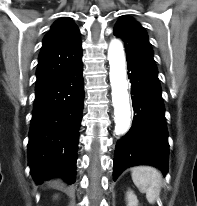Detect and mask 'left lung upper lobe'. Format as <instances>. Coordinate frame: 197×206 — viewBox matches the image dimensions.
I'll use <instances>...</instances> for the list:
<instances>
[{
    "mask_svg": "<svg viewBox=\"0 0 197 206\" xmlns=\"http://www.w3.org/2000/svg\"><path fill=\"white\" fill-rule=\"evenodd\" d=\"M113 33L125 44L127 62L159 82L151 44L143 27L134 19L124 16L117 22Z\"/></svg>",
    "mask_w": 197,
    "mask_h": 206,
    "instance_id": "left-lung-upper-lobe-1",
    "label": "left lung upper lobe"
}]
</instances>
